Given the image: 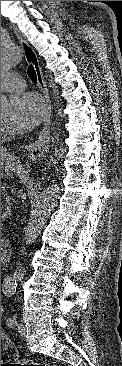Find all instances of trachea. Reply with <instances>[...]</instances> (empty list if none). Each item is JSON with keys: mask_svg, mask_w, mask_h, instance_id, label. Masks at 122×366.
Returning a JSON list of instances; mask_svg holds the SVG:
<instances>
[{"mask_svg": "<svg viewBox=\"0 0 122 366\" xmlns=\"http://www.w3.org/2000/svg\"><path fill=\"white\" fill-rule=\"evenodd\" d=\"M27 73H28V76L31 79V81L36 83L37 82V75H36V72H35V69H34L33 66H29Z\"/></svg>", "mask_w": 122, "mask_h": 366, "instance_id": "3493384b", "label": "trachea"}]
</instances>
